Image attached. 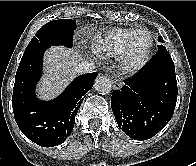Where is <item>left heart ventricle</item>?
Segmentation results:
<instances>
[{"label": "left heart ventricle", "instance_id": "left-heart-ventricle-1", "mask_svg": "<svg viewBox=\"0 0 196 166\" xmlns=\"http://www.w3.org/2000/svg\"><path fill=\"white\" fill-rule=\"evenodd\" d=\"M148 36L145 32H138L136 33L130 43L131 49L133 51V54L136 57H139L144 53V51L147 49L148 46Z\"/></svg>", "mask_w": 196, "mask_h": 166}]
</instances>
